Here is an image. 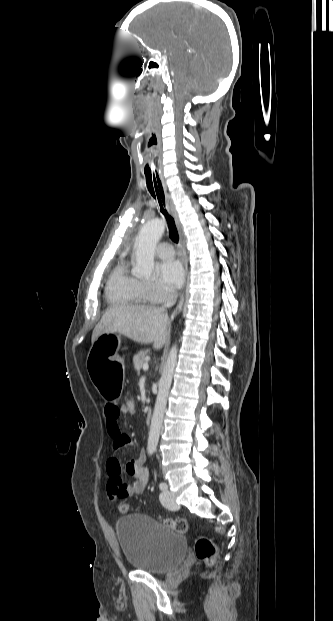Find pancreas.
Listing matches in <instances>:
<instances>
[{
    "label": "pancreas",
    "instance_id": "cf45deb5",
    "mask_svg": "<svg viewBox=\"0 0 333 621\" xmlns=\"http://www.w3.org/2000/svg\"><path fill=\"white\" fill-rule=\"evenodd\" d=\"M147 358V351H140L133 356V364L137 371H140L145 364Z\"/></svg>",
    "mask_w": 333,
    "mask_h": 621
}]
</instances>
